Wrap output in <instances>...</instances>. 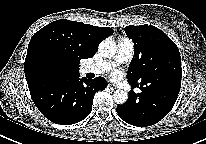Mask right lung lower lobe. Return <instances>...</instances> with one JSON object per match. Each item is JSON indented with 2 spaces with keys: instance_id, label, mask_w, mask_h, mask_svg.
Listing matches in <instances>:
<instances>
[{
  "instance_id": "right-lung-lower-lobe-1",
  "label": "right lung lower lobe",
  "mask_w": 206,
  "mask_h": 144,
  "mask_svg": "<svg viewBox=\"0 0 206 144\" xmlns=\"http://www.w3.org/2000/svg\"><path fill=\"white\" fill-rule=\"evenodd\" d=\"M33 102L50 121L70 125L84 120L92 110L93 97L107 87L103 77L79 79L48 77L28 86Z\"/></svg>"
}]
</instances>
